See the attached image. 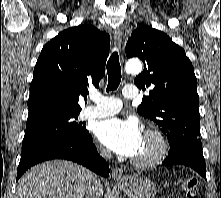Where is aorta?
Wrapping results in <instances>:
<instances>
[{
	"label": "aorta",
	"instance_id": "1",
	"mask_svg": "<svg viewBox=\"0 0 221 198\" xmlns=\"http://www.w3.org/2000/svg\"><path fill=\"white\" fill-rule=\"evenodd\" d=\"M128 74H138L142 71V64L138 59L129 60L125 65Z\"/></svg>",
	"mask_w": 221,
	"mask_h": 198
}]
</instances>
